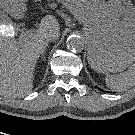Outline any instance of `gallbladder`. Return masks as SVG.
<instances>
[{
	"instance_id": "bac80fb5",
	"label": "gallbladder",
	"mask_w": 135,
	"mask_h": 135,
	"mask_svg": "<svg viewBox=\"0 0 135 135\" xmlns=\"http://www.w3.org/2000/svg\"><path fill=\"white\" fill-rule=\"evenodd\" d=\"M6 17L7 16L4 14V12L0 10V24L1 23H5V24L7 23V20L3 21V18H6Z\"/></svg>"
}]
</instances>
